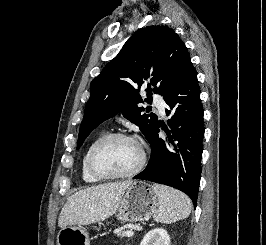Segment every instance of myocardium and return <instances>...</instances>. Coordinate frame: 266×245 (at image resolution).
I'll list each match as a JSON object with an SVG mask.
<instances>
[{
  "label": "myocardium",
  "instance_id": "f54148a6",
  "mask_svg": "<svg viewBox=\"0 0 266 245\" xmlns=\"http://www.w3.org/2000/svg\"><path fill=\"white\" fill-rule=\"evenodd\" d=\"M113 139H124V140L132 141L133 143L137 145L139 149L140 157H139L138 163L135 166V168L128 173L121 174V175L106 174L102 172L97 166L96 159H97V155L99 151L105 144H107L109 141ZM145 160H146L145 150L143 146L134 137L124 132H108L104 134L103 136H101L90 149L89 156H88V166H89L90 172L99 180H103V181L120 180V179L131 178L137 175L142 170L145 164Z\"/></svg>",
  "mask_w": 266,
  "mask_h": 245
}]
</instances>
